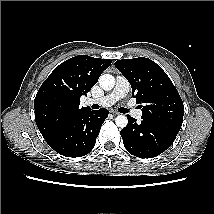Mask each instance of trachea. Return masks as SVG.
<instances>
[{
    "mask_svg": "<svg viewBox=\"0 0 214 214\" xmlns=\"http://www.w3.org/2000/svg\"><path fill=\"white\" fill-rule=\"evenodd\" d=\"M119 111L121 113H128V109H126V108H120Z\"/></svg>",
    "mask_w": 214,
    "mask_h": 214,
    "instance_id": "1",
    "label": "trachea"
}]
</instances>
